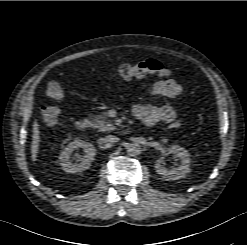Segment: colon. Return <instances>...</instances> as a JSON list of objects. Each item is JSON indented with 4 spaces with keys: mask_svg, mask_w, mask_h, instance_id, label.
Returning a JSON list of instances; mask_svg holds the SVG:
<instances>
[{
    "mask_svg": "<svg viewBox=\"0 0 247 245\" xmlns=\"http://www.w3.org/2000/svg\"><path fill=\"white\" fill-rule=\"evenodd\" d=\"M117 74L124 79L144 77L146 75L170 77L172 76V71L167 69L158 60L147 59L138 61L134 64H122L118 67ZM177 76L183 78L185 73H178ZM46 93L54 100H60L64 97V90L57 82L49 83ZM59 116L60 109L56 106H47L41 110V118L43 122L48 125L55 124L58 121ZM169 126L173 129H178L181 127V121L179 119H175L169 123Z\"/></svg>",
    "mask_w": 247,
    "mask_h": 245,
    "instance_id": "obj_1",
    "label": "colon"
}]
</instances>
